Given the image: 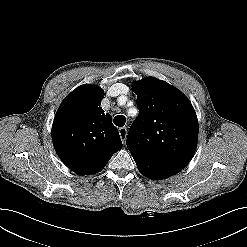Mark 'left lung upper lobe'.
Segmentation results:
<instances>
[{"label":"left lung upper lobe","mask_w":247,"mask_h":247,"mask_svg":"<svg viewBox=\"0 0 247 247\" xmlns=\"http://www.w3.org/2000/svg\"><path fill=\"white\" fill-rule=\"evenodd\" d=\"M132 89L140 110L127 136L133 158L183 169L195 153L198 121L188 98L153 77L135 81Z\"/></svg>","instance_id":"1"}]
</instances>
